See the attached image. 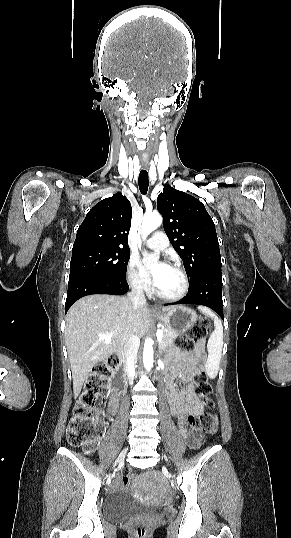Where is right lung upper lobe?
<instances>
[{
	"instance_id": "cb5924a9",
	"label": "right lung upper lobe",
	"mask_w": 291,
	"mask_h": 538,
	"mask_svg": "<svg viewBox=\"0 0 291 538\" xmlns=\"http://www.w3.org/2000/svg\"><path fill=\"white\" fill-rule=\"evenodd\" d=\"M132 208L120 192L97 203L77 230L72 250L88 246L129 248Z\"/></svg>"
}]
</instances>
